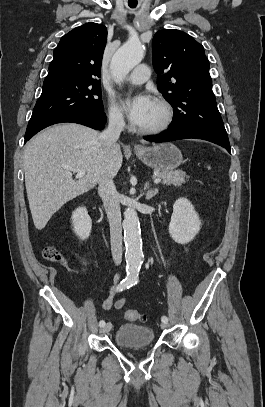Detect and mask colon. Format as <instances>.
<instances>
[{
    "mask_svg": "<svg viewBox=\"0 0 265 407\" xmlns=\"http://www.w3.org/2000/svg\"><path fill=\"white\" fill-rule=\"evenodd\" d=\"M43 256L50 262L65 265V256L55 247L47 246L43 250ZM124 317L128 321H144L145 316L140 314L137 310L127 309L124 313Z\"/></svg>",
    "mask_w": 265,
    "mask_h": 407,
    "instance_id": "colon-1",
    "label": "colon"
}]
</instances>
